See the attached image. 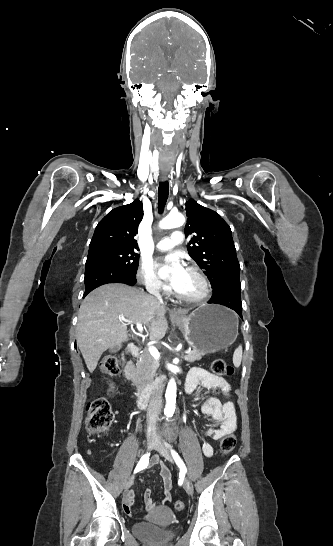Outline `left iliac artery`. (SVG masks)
<instances>
[{
	"label": "left iliac artery",
	"mask_w": 333,
	"mask_h": 546,
	"mask_svg": "<svg viewBox=\"0 0 333 546\" xmlns=\"http://www.w3.org/2000/svg\"><path fill=\"white\" fill-rule=\"evenodd\" d=\"M171 453H172V456H173L176 464L180 468V471L185 474L187 472V469H186V466H185L183 460L180 458V456L178 455V453L176 451L171 449Z\"/></svg>",
	"instance_id": "44dca946"
}]
</instances>
